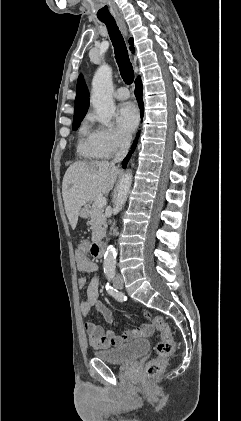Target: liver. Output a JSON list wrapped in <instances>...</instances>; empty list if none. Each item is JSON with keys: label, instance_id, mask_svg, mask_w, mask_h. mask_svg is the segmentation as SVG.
I'll list each match as a JSON object with an SVG mask.
<instances>
[{"label": "liver", "instance_id": "liver-1", "mask_svg": "<svg viewBox=\"0 0 241 421\" xmlns=\"http://www.w3.org/2000/svg\"><path fill=\"white\" fill-rule=\"evenodd\" d=\"M118 175L119 169L108 161H79L69 166L63 178L62 196L73 230L82 206L101 193H109Z\"/></svg>", "mask_w": 241, "mask_h": 421}]
</instances>
